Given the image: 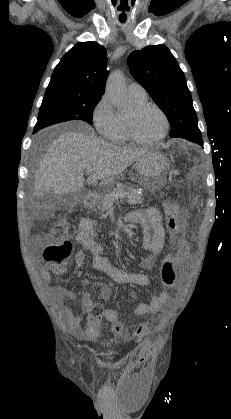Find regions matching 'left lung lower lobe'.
Listing matches in <instances>:
<instances>
[{
  "instance_id": "obj_1",
  "label": "left lung lower lobe",
  "mask_w": 231,
  "mask_h": 419,
  "mask_svg": "<svg viewBox=\"0 0 231 419\" xmlns=\"http://www.w3.org/2000/svg\"><path fill=\"white\" fill-rule=\"evenodd\" d=\"M187 140H189L191 142H195V143L203 146L202 136L188 138Z\"/></svg>"
}]
</instances>
